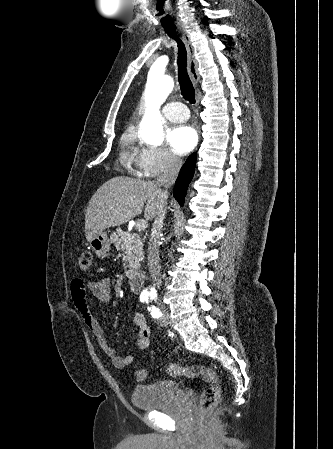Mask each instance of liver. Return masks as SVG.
I'll return each mask as SVG.
<instances>
[{
	"label": "liver",
	"mask_w": 333,
	"mask_h": 449,
	"mask_svg": "<svg viewBox=\"0 0 333 449\" xmlns=\"http://www.w3.org/2000/svg\"><path fill=\"white\" fill-rule=\"evenodd\" d=\"M167 193L157 182H144L129 177H113L92 196L85 214L86 239L90 242L99 232L120 226L142 213L152 220L166 204Z\"/></svg>",
	"instance_id": "6515ba94"
}]
</instances>
